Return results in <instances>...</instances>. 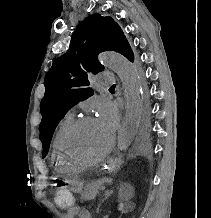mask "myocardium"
<instances>
[{"instance_id": "myocardium-1", "label": "myocardium", "mask_w": 211, "mask_h": 218, "mask_svg": "<svg viewBox=\"0 0 211 218\" xmlns=\"http://www.w3.org/2000/svg\"><path fill=\"white\" fill-rule=\"evenodd\" d=\"M94 119V116L92 115H85V116H81L77 119H75L73 121V123L69 126V128L67 129L65 135H64V155L68 156L70 158V160L77 165H81V166H87V165H92L95 164L103 159H105L114 149L115 144H116V136L113 134L112 136V141L110 143V145L100 154L91 157V158H87V159H79V158H75L73 156H71V154L69 153V148L71 146V140H72V136L75 133V131L84 123L90 121Z\"/></svg>"}]
</instances>
